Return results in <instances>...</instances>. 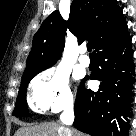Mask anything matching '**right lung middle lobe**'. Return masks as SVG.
Here are the masks:
<instances>
[{"instance_id":"dd1d6c3e","label":"right lung middle lobe","mask_w":136,"mask_h":136,"mask_svg":"<svg viewBox=\"0 0 136 136\" xmlns=\"http://www.w3.org/2000/svg\"><path fill=\"white\" fill-rule=\"evenodd\" d=\"M38 73L29 75L22 79L20 90L16 99L15 109L13 111V115L16 117L26 116L27 113V102H26V89L30 80L37 75Z\"/></svg>"}]
</instances>
